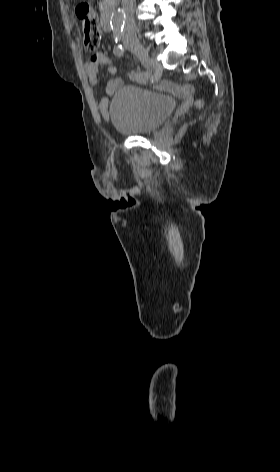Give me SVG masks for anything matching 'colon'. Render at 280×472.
<instances>
[{"label": "colon", "mask_w": 280, "mask_h": 472, "mask_svg": "<svg viewBox=\"0 0 280 472\" xmlns=\"http://www.w3.org/2000/svg\"><path fill=\"white\" fill-rule=\"evenodd\" d=\"M75 11L81 24L84 47L87 51L93 52L98 47L102 36L99 18L87 2L78 3ZM196 106L200 108L202 100H198Z\"/></svg>", "instance_id": "colon-1"}]
</instances>
